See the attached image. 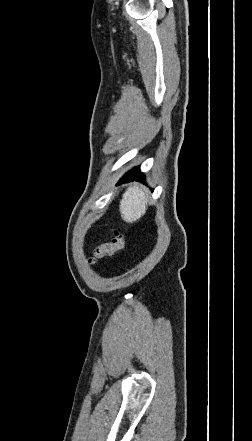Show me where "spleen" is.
<instances>
[{
    "instance_id": "obj_1",
    "label": "spleen",
    "mask_w": 252,
    "mask_h": 441,
    "mask_svg": "<svg viewBox=\"0 0 252 441\" xmlns=\"http://www.w3.org/2000/svg\"><path fill=\"white\" fill-rule=\"evenodd\" d=\"M148 197L143 189L137 185L130 187L123 194L120 201V214L127 223L140 219L146 212Z\"/></svg>"
}]
</instances>
